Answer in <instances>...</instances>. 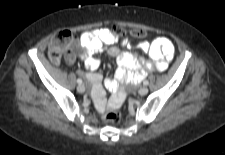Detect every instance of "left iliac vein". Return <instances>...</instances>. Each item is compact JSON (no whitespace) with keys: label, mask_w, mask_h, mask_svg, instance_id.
I'll list each match as a JSON object with an SVG mask.
<instances>
[{"label":"left iliac vein","mask_w":225,"mask_h":155,"mask_svg":"<svg viewBox=\"0 0 225 155\" xmlns=\"http://www.w3.org/2000/svg\"><path fill=\"white\" fill-rule=\"evenodd\" d=\"M138 93L140 94V95H146L147 93H148V88L147 87H145V86H143V87H141L140 89H139V91H138Z\"/></svg>","instance_id":"left-iliac-vein-1"}]
</instances>
